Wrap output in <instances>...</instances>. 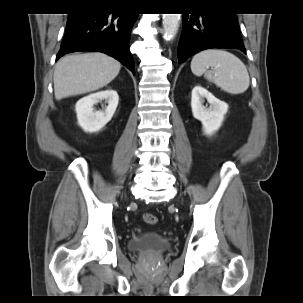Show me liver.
<instances>
[{
    "label": "liver",
    "mask_w": 303,
    "mask_h": 303,
    "mask_svg": "<svg viewBox=\"0 0 303 303\" xmlns=\"http://www.w3.org/2000/svg\"><path fill=\"white\" fill-rule=\"evenodd\" d=\"M121 64L103 53L67 55L55 65L56 100L96 91L109 84L119 73Z\"/></svg>",
    "instance_id": "liver-1"
}]
</instances>
